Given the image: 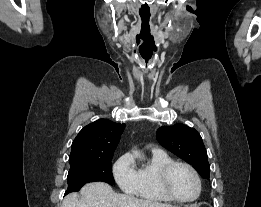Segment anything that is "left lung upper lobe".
<instances>
[{"label":"left lung upper lobe","mask_w":261,"mask_h":207,"mask_svg":"<svg viewBox=\"0 0 261 207\" xmlns=\"http://www.w3.org/2000/svg\"><path fill=\"white\" fill-rule=\"evenodd\" d=\"M158 142L176 156L191 164L198 173L209 179L210 166L200 134L184 124L162 126L156 133Z\"/></svg>","instance_id":"obj_1"}]
</instances>
